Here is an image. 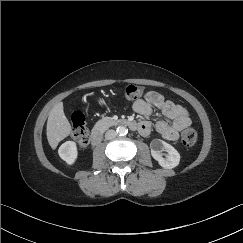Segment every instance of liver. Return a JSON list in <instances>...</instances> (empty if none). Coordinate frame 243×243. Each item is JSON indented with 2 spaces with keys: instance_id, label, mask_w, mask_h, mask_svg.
<instances>
[{
  "instance_id": "6515ba94",
  "label": "liver",
  "mask_w": 243,
  "mask_h": 243,
  "mask_svg": "<svg viewBox=\"0 0 243 243\" xmlns=\"http://www.w3.org/2000/svg\"><path fill=\"white\" fill-rule=\"evenodd\" d=\"M46 131L47 140L52 149H56L59 142L71 133V125L64 114L63 102H58L51 109Z\"/></svg>"
}]
</instances>
